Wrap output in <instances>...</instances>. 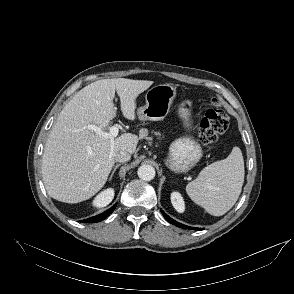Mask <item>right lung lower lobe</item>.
Segmentation results:
<instances>
[{
    "label": "right lung lower lobe",
    "instance_id": "right-lung-lower-lobe-1",
    "mask_svg": "<svg viewBox=\"0 0 294 294\" xmlns=\"http://www.w3.org/2000/svg\"><path fill=\"white\" fill-rule=\"evenodd\" d=\"M115 207H116V204L113 207H111L110 209H108L107 211L103 212L102 214L88 218L86 220H82V222H94L95 223V222L102 221L113 212Z\"/></svg>",
    "mask_w": 294,
    "mask_h": 294
}]
</instances>
